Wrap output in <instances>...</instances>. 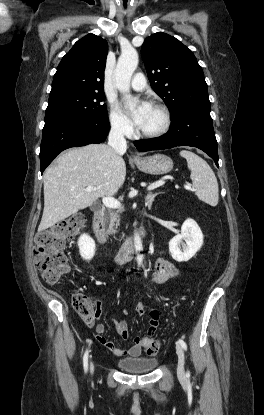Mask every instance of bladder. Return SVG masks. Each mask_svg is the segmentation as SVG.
<instances>
[{
	"instance_id": "obj_1",
	"label": "bladder",
	"mask_w": 264,
	"mask_h": 415,
	"mask_svg": "<svg viewBox=\"0 0 264 415\" xmlns=\"http://www.w3.org/2000/svg\"><path fill=\"white\" fill-rule=\"evenodd\" d=\"M158 364L157 359H147L143 357L138 358H123L117 362V365L125 372L129 373H143L156 368Z\"/></svg>"
}]
</instances>
